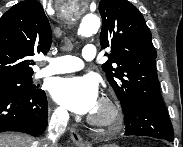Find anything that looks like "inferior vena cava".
Listing matches in <instances>:
<instances>
[{"instance_id": "1", "label": "inferior vena cava", "mask_w": 183, "mask_h": 147, "mask_svg": "<svg viewBox=\"0 0 183 147\" xmlns=\"http://www.w3.org/2000/svg\"><path fill=\"white\" fill-rule=\"evenodd\" d=\"M69 115L65 109L57 110L49 123V136H46L39 142L35 143V147H56V142L66 130Z\"/></svg>"}]
</instances>
